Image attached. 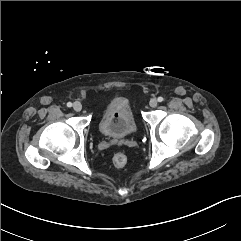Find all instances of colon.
Returning <instances> with one entry per match:
<instances>
[{
  "label": "colon",
  "instance_id": "5ec220e1",
  "mask_svg": "<svg viewBox=\"0 0 241 241\" xmlns=\"http://www.w3.org/2000/svg\"><path fill=\"white\" fill-rule=\"evenodd\" d=\"M127 156L124 153H116L113 156V164L118 167L122 168L127 164Z\"/></svg>",
  "mask_w": 241,
  "mask_h": 241
}]
</instances>
